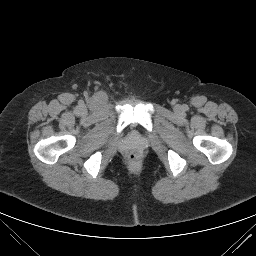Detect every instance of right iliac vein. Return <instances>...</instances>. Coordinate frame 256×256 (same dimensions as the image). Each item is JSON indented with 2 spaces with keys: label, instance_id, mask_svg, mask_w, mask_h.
<instances>
[{
  "label": "right iliac vein",
  "instance_id": "63e3f726",
  "mask_svg": "<svg viewBox=\"0 0 256 256\" xmlns=\"http://www.w3.org/2000/svg\"><path fill=\"white\" fill-rule=\"evenodd\" d=\"M81 111H82V113H84V110H83V109H81Z\"/></svg>",
  "mask_w": 256,
  "mask_h": 256
}]
</instances>
